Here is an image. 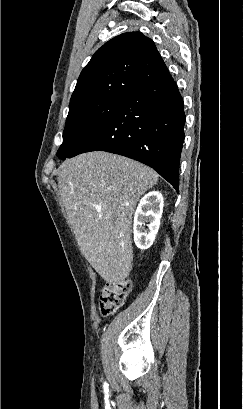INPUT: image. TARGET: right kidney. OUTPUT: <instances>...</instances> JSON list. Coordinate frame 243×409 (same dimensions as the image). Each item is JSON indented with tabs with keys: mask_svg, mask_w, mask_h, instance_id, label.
<instances>
[{
	"mask_svg": "<svg viewBox=\"0 0 243 409\" xmlns=\"http://www.w3.org/2000/svg\"><path fill=\"white\" fill-rule=\"evenodd\" d=\"M163 206V196L158 191L149 192L140 200L133 224L134 242L139 249H148L153 244L159 230Z\"/></svg>",
	"mask_w": 243,
	"mask_h": 409,
	"instance_id": "obj_1",
	"label": "right kidney"
}]
</instances>
